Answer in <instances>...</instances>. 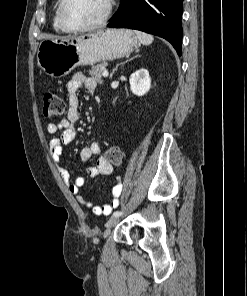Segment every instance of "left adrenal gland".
<instances>
[{
  "mask_svg": "<svg viewBox=\"0 0 247 296\" xmlns=\"http://www.w3.org/2000/svg\"><path fill=\"white\" fill-rule=\"evenodd\" d=\"M136 57H138V56H136ZM135 57H132L131 59H129V60H127V61H125L124 63H122L121 65H124L125 63H127L128 61H131V60H133ZM117 68H118V65L116 66V68L112 71V73L110 74V78H112L113 77V75H114V73H115V71H117Z\"/></svg>",
  "mask_w": 247,
  "mask_h": 296,
  "instance_id": "left-adrenal-gland-1",
  "label": "left adrenal gland"
}]
</instances>
